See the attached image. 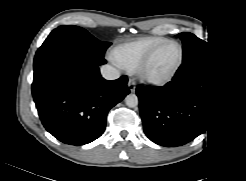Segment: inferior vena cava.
<instances>
[{
  "label": "inferior vena cava",
  "mask_w": 246,
  "mask_h": 181,
  "mask_svg": "<svg viewBox=\"0 0 246 181\" xmlns=\"http://www.w3.org/2000/svg\"><path fill=\"white\" fill-rule=\"evenodd\" d=\"M100 70L102 77L106 80H115L120 77V72L111 65H103Z\"/></svg>",
  "instance_id": "obj_1"
}]
</instances>
